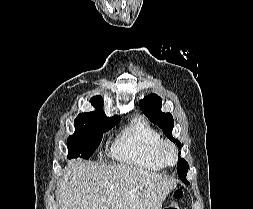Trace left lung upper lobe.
I'll use <instances>...</instances> for the list:
<instances>
[{"mask_svg":"<svg viewBox=\"0 0 253 209\" xmlns=\"http://www.w3.org/2000/svg\"><path fill=\"white\" fill-rule=\"evenodd\" d=\"M140 106L143 109V112L148 117V119L160 127L164 134L174 143L177 144V146L181 147V142L172 136V129L174 126L173 117L171 113H164L161 111L162 102L161 98L157 96L156 94H149L143 98V100H140L139 102ZM188 171V163L183 158L178 159L177 163V173L179 178L185 182L188 183L186 180V175Z\"/></svg>","mask_w":253,"mask_h":209,"instance_id":"obj_1","label":"left lung upper lobe"}]
</instances>
